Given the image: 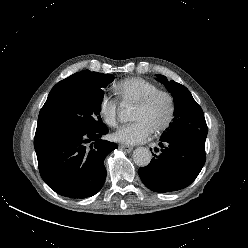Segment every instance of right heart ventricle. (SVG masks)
<instances>
[{
	"label": "right heart ventricle",
	"instance_id": "obj_1",
	"mask_svg": "<svg viewBox=\"0 0 248 248\" xmlns=\"http://www.w3.org/2000/svg\"><path fill=\"white\" fill-rule=\"evenodd\" d=\"M158 90V86L146 79L132 77L119 82L116 86V93L122 103H137L153 91Z\"/></svg>",
	"mask_w": 248,
	"mask_h": 248
}]
</instances>
